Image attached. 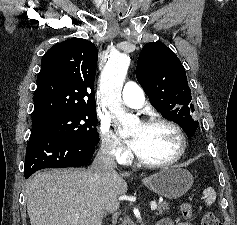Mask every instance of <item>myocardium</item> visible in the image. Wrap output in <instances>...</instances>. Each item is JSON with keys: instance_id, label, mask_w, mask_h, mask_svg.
I'll return each instance as SVG.
<instances>
[{"instance_id": "1", "label": "myocardium", "mask_w": 237, "mask_h": 225, "mask_svg": "<svg viewBox=\"0 0 237 225\" xmlns=\"http://www.w3.org/2000/svg\"><path fill=\"white\" fill-rule=\"evenodd\" d=\"M143 125L147 127L163 125V126H167L171 128L178 137L179 149H178V152L172 158L165 161H159V162L146 161L135 153L134 158L140 165L148 167V168L168 167L177 163L183 157L187 149V139L183 130L177 123L165 118L157 117V118H151V119L146 120L145 122H143Z\"/></svg>"}]
</instances>
